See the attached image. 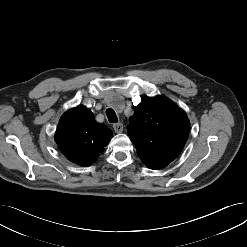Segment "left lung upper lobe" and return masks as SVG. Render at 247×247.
Instances as JSON below:
<instances>
[{
	"label": "left lung upper lobe",
	"instance_id": "1",
	"mask_svg": "<svg viewBox=\"0 0 247 247\" xmlns=\"http://www.w3.org/2000/svg\"><path fill=\"white\" fill-rule=\"evenodd\" d=\"M127 130L139 158L150 169H161L181 153L190 123L185 112L166 97H145L135 107Z\"/></svg>",
	"mask_w": 247,
	"mask_h": 247
}]
</instances>
